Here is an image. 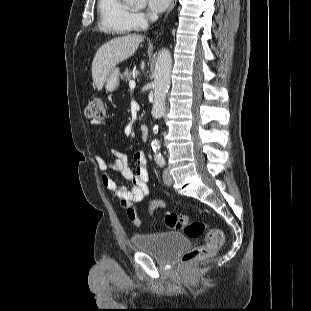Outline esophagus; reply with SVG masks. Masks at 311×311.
Instances as JSON below:
<instances>
[{
  "instance_id": "esophagus-1",
  "label": "esophagus",
  "mask_w": 311,
  "mask_h": 311,
  "mask_svg": "<svg viewBox=\"0 0 311 311\" xmlns=\"http://www.w3.org/2000/svg\"><path fill=\"white\" fill-rule=\"evenodd\" d=\"M176 2H177V0H172L171 5H170V7L168 8V11H167V13H166V17H167V15L173 10V8H174L175 5H176ZM166 17H165V18H166Z\"/></svg>"
}]
</instances>
